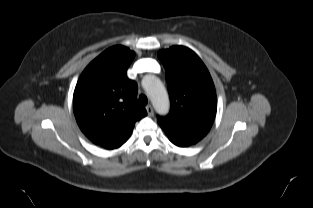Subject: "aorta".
I'll list each match as a JSON object with an SVG mask.
<instances>
[{
  "label": "aorta",
  "mask_w": 313,
  "mask_h": 208,
  "mask_svg": "<svg viewBox=\"0 0 313 208\" xmlns=\"http://www.w3.org/2000/svg\"><path fill=\"white\" fill-rule=\"evenodd\" d=\"M143 85L157 113L167 114L170 108L169 96L161 81L154 75H147Z\"/></svg>",
  "instance_id": "1"
}]
</instances>
